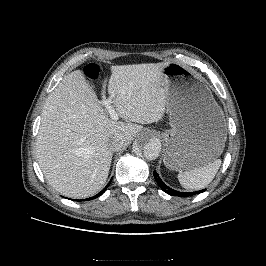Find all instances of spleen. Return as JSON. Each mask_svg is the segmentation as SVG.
Instances as JSON below:
<instances>
[{
	"label": "spleen",
	"mask_w": 266,
	"mask_h": 266,
	"mask_svg": "<svg viewBox=\"0 0 266 266\" xmlns=\"http://www.w3.org/2000/svg\"><path fill=\"white\" fill-rule=\"evenodd\" d=\"M221 162V159H216L203 167L180 172L178 180L181 186L188 190H199L206 187L214 179Z\"/></svg>",
	"instance_id": "1"
}]
</instances>
